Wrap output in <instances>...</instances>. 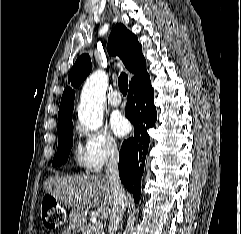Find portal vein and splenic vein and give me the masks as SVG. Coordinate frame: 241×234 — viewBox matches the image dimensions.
<instances>
[{"label": "portal vein and splenic vein", "instance_id": "1", "mask_svg": "<svg viewBox=\"0 0 241 234\" xmlns=\"http://www.w3.org/2000/svg\"><path fill=\"white\" fill-rule=\"evenodd\" d=\"M93 226L95 229H98V230H103V223L101 221H94L93 222Z\"/></svg>", "mask_w": 241, "mask_h": 234}]
</instances>
